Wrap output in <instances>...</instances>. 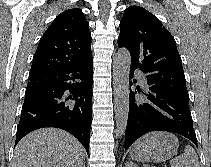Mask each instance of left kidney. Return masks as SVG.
<instances>
[{"label": "left kidney", "mask_w": 211, "mask_h": 167, "mask_svg": "<svg viewBox=\"0 0 211 167\" xmlns=\"http://www.w3.org/2000/svg\"><path fill=\"white\" fill-rule=\"evenodd\" d=\"M125 167H138V166L132 163H126Z\"/></svg>", "instance_id": "left-kidney-1"}]
</instances>
